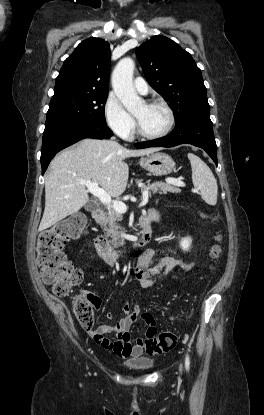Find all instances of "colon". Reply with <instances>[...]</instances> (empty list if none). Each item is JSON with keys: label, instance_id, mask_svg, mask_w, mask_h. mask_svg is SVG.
Masks as SVG:
<instances>
[{"label": "colon", "instance_id": "obj_1", "mask_svg": "<svg viewBox=\"0 0 264 415\" xmlns=\"http://www.w3.org/2000/svg\"><path fill=\"white\" fill-rule=\"evenodd\" d=\"M212 216L215 221L219 220L218 213H214ZM85 228V216L75 214L53 227L40 231L38 235L37 265L43 282L52 286V291L56 296H68L84 278L83 271L74 266L62 250L68 241L84 236ZM216 239L219 241V236ZM220 252L221 248L217 243L211 249V257L217 258ZM97 303V297L85 290H80L74 296L73 313L83 328H92ZM143 342L149 355H159L172 349L177 343V337L172 333L157 334L153 330L147 329Z\"/></svg>", "mask_w": 264, "mask_h": 415}]
</instances>
